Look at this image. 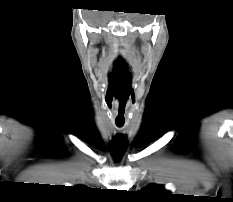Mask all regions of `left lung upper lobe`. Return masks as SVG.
Returning <instances> with one entry per match:
<instances>
[{
	"mask_svg": "<svg viewBox=\"0 0 233 202\" xmlns=\"http://www.w3.org/2000/svg\"><path fill=\"white\" fill-rule=\"evenodd\" d=\"M141 192L153 198H168L170 196V193L164 190L163 186L156 184L148 185Z\"/></svg>",
	"mask_w": 233,
	"mask_h": 202,
	"instance_id": "left-lung-upper-lobe-1",
	"label": "left lung upper lobe"
}]
</instances>
